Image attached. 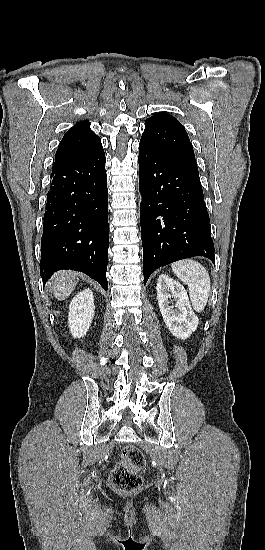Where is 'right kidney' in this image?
<instances>
[{
  "mask_svg": "<svg viewBox=\"0 0 265 550\" xmlns=\"http://www.w3.org/2000/svg\"><path fill=\"white\" fill-rule=\"evenodd\" d=\"M94 316V297L90 289L77 294L69 306L68 323L73 337L86 335Z\"/></svg>",
  "mask_w": 265,
  "mask_h": 550,
  "instance_id": "ca27d5eb",
  "label": "right kidney"
}]
</instances>
